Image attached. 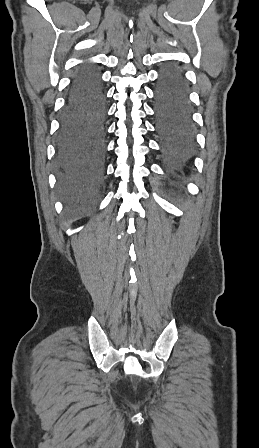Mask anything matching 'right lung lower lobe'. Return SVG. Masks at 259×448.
Masks as SVG:
<instances>
[{"label":"right lung lower lobe","instance_id":"1","mask_svg":"<svg viewBox=\"0 0 259 448\" xmlns=\"http://www.w3.org/2000/svg\"><path fill=\"white\" fill-rule=\"evenodd\" d=\"M106 95L99 70L81 65L68 90L56 136L55 167L63 185H97L106 160Z\"/></svg>","mask_w":259,"mask_h":448}]
</instances>
